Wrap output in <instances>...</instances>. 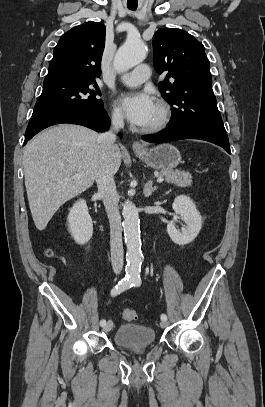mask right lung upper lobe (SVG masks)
<instances>
[{"label": "right lung upper lobe", "instance_id": "obj_1", "mask_svg": "<svg viewBox=\"0 0 265 407\" xmlns=\"http://www.w3.org/2000/svg\"><path fill=\"white\" fill-rule=\"evenodd\" d=\"M105 25L86 22L62 35L53 51L46 78L95 80L101 75Z\"/></svg>", "mask_w": 265, "mask_h": 407}]
</instances>
